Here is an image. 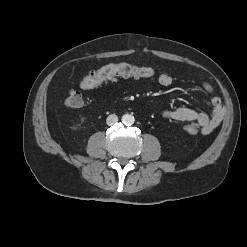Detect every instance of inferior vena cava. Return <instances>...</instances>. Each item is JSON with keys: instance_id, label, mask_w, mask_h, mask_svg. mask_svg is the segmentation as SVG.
<instances>
[{"instance_id": "602c4592", "label": "inferior vena cava", "mask_w": 247, "mask_h": 247, "mask_svg": "<svg viewBox=\"0 0 247 247\" xmlns=\"http://www.w3.org/2000/svg\"><path fill=\"white\" fill-rule=\"evenodd\" d=\"M118 121V117L115 114H111L107 117L106 122L107 125L112 126L113 124H115Z\"/></svg>"}]
</instances>
